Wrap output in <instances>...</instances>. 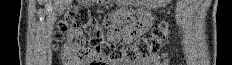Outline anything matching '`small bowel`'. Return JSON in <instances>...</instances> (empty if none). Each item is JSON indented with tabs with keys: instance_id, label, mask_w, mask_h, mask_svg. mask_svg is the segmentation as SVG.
Returning <instances> with one entry per match:
<instances>
[{
	"instance_id": "small-bowel-1",
	"label": "small bowel",
	"mask_w": 232,
	"mask_h": 65,
	"mask_svg": "<svg viewBox=\"0 0 232 65\" xmlns=\"http://www.w3.org/2000/svg\"><path fill=\"white\" fill-rule=\"evenodd\" d=\"M108 15L105 16L104 20L105 30L107 31L104 36L122 37L120 42L125 43V45H136L138 37H147L152 28L151 12H109ZM118 21H132V23L125 24L118 23ZM81 36L82 32L78 29L68 31V42L63 47V56L67 63L76 61L77 41ZM170 58L171 54L169 52L154 53L134 63L120 62L109 65H168Z\"/></svg>"
}]
</instances>
